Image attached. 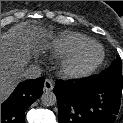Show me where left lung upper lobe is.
<instances>
[{
  "instance_id": "obj_1",
  "label": "left lung upper lobe",
  "mask_w": 123,
  "mask_h": 123,
  "mask_svg": "<svg viewBox=\"0 0 123 123\" xmlns=\"http://www.w3.org/2000/svg\"><path fill=\"white\" fill-rule=\"evenodd\" d=\"M102 76L112 78L115 80L123 81L122 77V62L120 58L112 61L111 66L100 73Z\"/></svg>"
}]
</instances>
